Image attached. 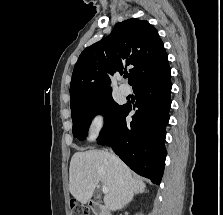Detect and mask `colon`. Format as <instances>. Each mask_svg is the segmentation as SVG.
Here are the masks:
<instances>
[{"label": "colon", "mask_w": 223, "mask_h": 215, "mask_svg": "<svg viewBox=\"0 0 223 215\" xmlns=\"http://www.w3.org/2000/svg\"><path fill=\"white\" fill-rule=\"evenodd\" d=\"M70 215H91V213L85 205L78 202H72L70 205Z\"/></svg>", "instance_id": "colon-1"}]
</instances>
